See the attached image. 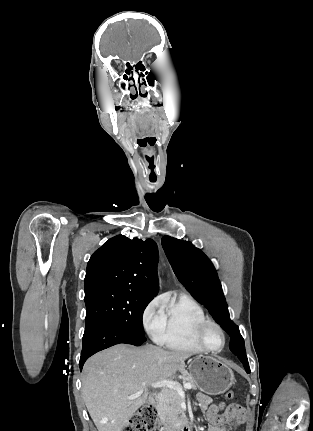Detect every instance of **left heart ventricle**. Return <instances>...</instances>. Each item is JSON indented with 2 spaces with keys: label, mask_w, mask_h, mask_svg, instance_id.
Segmentation results:
<instances>
[{
  "label": "left heart ventricle",
  "mask_w": 313,
  "mask_h": 431,
  "mask_svg": "<svg viewBox=\"0 0 313 431\" xmlns=\"http://www.w3.org/2000/svg\"><path fill=\"white\" fill-rule=\"evenodd\" d=\"M203 340L208 347L213 349L219 348L222 344L221 334L214 326H208L205 329Z\"/></svg>",
  "instance_id": "left-heart-ventricle-1"
}]
</instances>
